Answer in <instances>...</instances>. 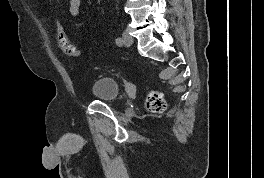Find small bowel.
I'll return each mask as SVG.
<instances>
[{
  "instance_id": "c3829d8e",
  "label": "small bowel",
  "mask_w": 264,
  "mask_h": 178,
  "mask_svg": "<svg viewBox=\"0 0 264 178\" xmlns=\"http://www.w3.org/2000/svg\"><path fill=\"white\" fill-rule=\"evenodd\" d=\"M81 0H69V13L72 17L79 15Z\"/></svg>"
}]
</instances>
